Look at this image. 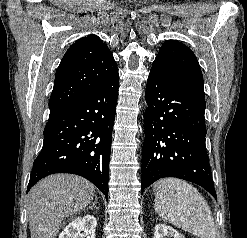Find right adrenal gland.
<instances>
[{"label":"right adrenal gland","mask_w":247,"mask_h":238,"mask_svg":"<svg viewBox=\"0 0 247 238\" xmlns=\"http://www.w3.org/2000/svg\"><path fill=\"white\" fill-rule=\"evenodd\" d=\"M96 203H97V198L95 197V201L92 203V205L91 206H89L86 210H88V209H98V207L96 206Z\"/></svg>","instance_id":"obj_1"}]
</instances>
